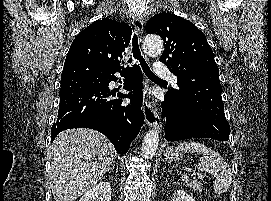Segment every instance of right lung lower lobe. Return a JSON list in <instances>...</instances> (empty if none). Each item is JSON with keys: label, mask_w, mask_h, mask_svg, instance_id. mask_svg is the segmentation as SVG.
I'll list each match as a JSON object with an SVG mask.
<instances>
[{"label": "right lung lower lobe", "mask_w": 271, "mask_h": 201, "mask_svg": "<svg viewBox=\"0 0 271 201\" xmlns=\"http://www.w3.org/2000/svg\"><path fill=\"white\" fill-rule=\"evenodd\" d=\"M127 78L123 88L131 97L129 103L121 99L109 100L108 85L116 81L115 73ZM142 71L139 66L111 69L85 60L64 63L59 92L57 122L51 129V142L63 130L91 128L107 136L119 154H126L130 143L144 122L142 105Z\"/></svg>", "instance_id": "obj_1"}]
</instances>
